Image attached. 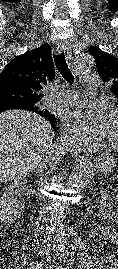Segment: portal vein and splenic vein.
<instances>
[{
  "label": "portal vein and splenic vein",
  "mask_w": 118,
  "mask_h": 269,
  "mask_svg": "<svg viewBox=\"0 0 118 269\" xmlns=\"http://www.w3.org/2000/svg\"><path fill=\"white\" fill-rule=\"evenodd\" d=\"M117 178H118V176H116L115 178L113 177V180H114V179H117Z\"/></svg>",
  "instance_id": "1"
}]
</instances>
